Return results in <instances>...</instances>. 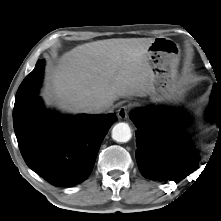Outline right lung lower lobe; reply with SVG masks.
<instances>
[{"instance_id":"right-lung-lower-lobe-1","label":"right lung lower lobe","mask_w":221,"mask_h":221,"mask_svg":"<svg viewBox=\"0 0 221 221\" xmlns=\"http://www.w3.org/2000/svg\"><path fill=\"white\" fill-rule=\"evenodd\" d=\"M44 62L20 85L13 110L18 145L26 164L54 186L83 182L90 175L100 145L117 121L114 114L60 116L47 111L38 97ZM26 115L16 118L20 110Z\"/></svg>"}]
</instances>
